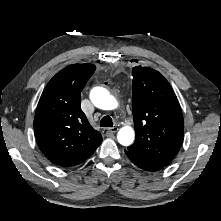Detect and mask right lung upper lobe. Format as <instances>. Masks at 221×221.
I'll use <instances>...</instances> for the list:
<instances>
[{
	"label": "right lung upper lobe",
	"mask_w": 221,
	"mask_h": 221,
	"mask_svg": "<svg viewBox=\"0 0 221 221\" xmlns=\"http://www.w3.org/2000/svg\"><path fill=\"white\" fill-rule=\"evenodd\" d=\"M95 65L72 64L58 72L39 100L34 132L43 154L61 167L88 159L102 142L80 108V93L95 71Z\"/></svg>",
	"instance_id": "cb5924a9"
}]
</instances>
